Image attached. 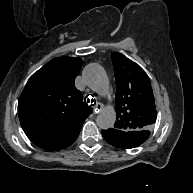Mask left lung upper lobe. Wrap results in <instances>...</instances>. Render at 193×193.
I'll return each mask as SVG.
<instances>
[{"label":"left lung upper lobe","mask_w":193,"mask_h":193,"mask_svg":"<svg viewBox=\"0 0 193 193\" xmlns=\"http://www.w3.org/2000/svg\"><path fill=\"white\" fill-rule=\"evenodd\" d=\"M116 78L117 121L114 129L149 131L156 121L151 82L144 70L121 53H111Z\"/></svg>","instance_id":"1"}]
</instances>
